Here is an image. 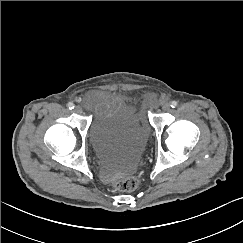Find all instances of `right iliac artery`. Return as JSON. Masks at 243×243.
Wrapping results in <instances>:
<instances>
[{"label": "right iliac artery", "instance_id": "right-iliac-artery-1", "mask_svg": "<svg viewBox=\"0 0 243 243\" xmlns=\"http://www.w3.org/2000/svg\"><path fill=\"white\" fill-rule=\"evenodd\" d=\"M68 108L71 110V109H74V104L72 102H69L67 104Z\"/></svg>", "mask_w": 243, "mask_h": 243}]
</instances>
